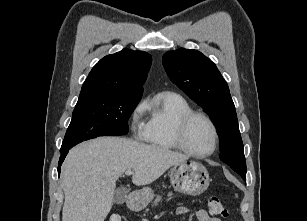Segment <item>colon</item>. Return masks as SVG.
I'll list each match as a JSON object with an SVG mask.
<instances>
[{
	"label": "colon",
	"mask_w": 307,
	"mask_h": 221,
	"mask_svg": "<svg viewBox=\"0 0 307 221\" xmlns=\"http://www.w3.org/2000/svg\"><path fill=\"white\" fill-rule=\"evenodd\" d=\"M208 209L212 215H217L221 217L228 216L227 208L216 196H210L208 198ZM107 221H121V218L118 215H112L108 218Z\"/></svg>",
	"instance_id": "obj_1"
}]
</instances>
